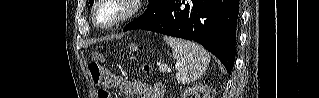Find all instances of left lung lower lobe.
Segmentation results:
<instances>
[{
	"label": "left lung lower lobe",
	"mask_w": 319,
	"mask_h": 98,
	"mask_svg": "<svg viewBox=\"0 0 319 98\" xmlns=\"http://www.w3.org/2000/svg\"><path fill=\"white\" fill-rule=\"evenodd\" d=\"M162 8L156 20L137 29L196 41L219 58L231 73L239 0H164ZM132 29L127 25L124 31Z\"/></svg>",
	"instance_id": "1"
}]
</instances>
